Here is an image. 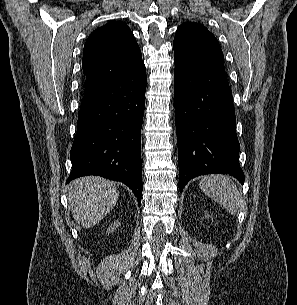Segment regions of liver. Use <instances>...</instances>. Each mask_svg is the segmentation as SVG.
<instances>
[{
    "label": "liver",
    "instance_id": "liver-1",
    "mask_svg": "<svg viewBox=\"0 0 297 305\" xmlns=\"http://www.w3.org/2000/svg\"><path fill=\"white\" fill-rule=\"evenodd\" d=\"M119 191L101 177L78 178L69 184L68 202L74 219L85 228L102 220L116 205Z\"/></svg>",
    "mask_w": 297,
    "mask_h": 305
}]
</instances>
